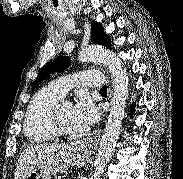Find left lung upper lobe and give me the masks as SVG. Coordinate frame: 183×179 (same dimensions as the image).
I'll list each match as a JSON object with an SVG mask.
<instances>
[{
	"instance_id": "obj_1",
	"label": "left lung upper lobe",
	"mask_w": 183,
	"mask_h": 179,
	"mask_svg": "<svg viewBox=\"0 0 183 179\" xmlns=\"http://www.w3.org/2000/svg\"><path fill=\"white\" fill-rule=\"evenodd\" d=\"M91 42L105 46L107 48L110 47V37L104 33L102 25L95 21H93L91 25ZM69 64V57L62 56H59L52 62L47 63L46 66H44L38 74L32 88L39 85L43 80L47 79L54 72L64 71L69 66Z\"/></svg>"
}]
</instances>
